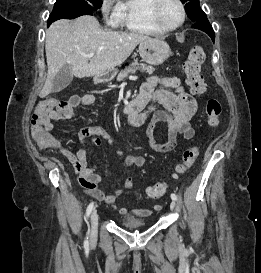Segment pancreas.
Returning <instances> with one entry per match:
<instances>
[{
    "instance_id": "cf45deb5",
    "label": "pancreas",
    "mask_w": 261,
    "mask_h": 273,
    "mask_svg": "<svg viewBox=\"0 0 261 273\" xmlns=\"http://www.w3.org/2000/svg\"><path fill=\"white\" fill-rule=\"evenodd\" d=\"M138 70L152 74L155 71V68L144 63H138L137 61H134L129 66L125 67V69L120 71L117 76V81H122L128 75L134 74Z\"/></svg>"
}]
</instances>
